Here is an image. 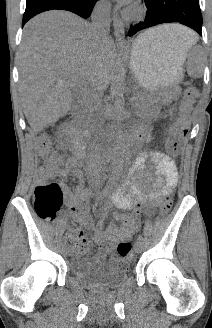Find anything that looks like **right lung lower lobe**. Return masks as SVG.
<instances>
[{"label":"right lung lower lobe","mask_w":212,"mask_h":328,"mask_svg":"<svg viewBox=\"0 0 212 328\" xmlns=\"http://www.w3.org/2000/svg\"><path fill=\"white\" fill-rule=\"evenodd\" d=\"M96 2L97 0H26L22 27L35 15L53 9L71 11L82 18H88Z\"/></svg>","instance_id":"1"}]
</instances>
